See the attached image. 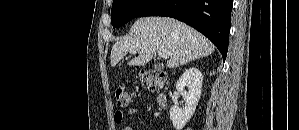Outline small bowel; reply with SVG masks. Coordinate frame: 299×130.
<instances>
[{"instance_id":"1","label":"small bowel","mask_w":299,"mask_h":130,"mask_svg":"<svg viewBox=\"0 0 299 130\" xmlns=\"http://www.w3.org/2000/svg\"><path fill=\"white\" fill-rule=\"evenodd\" d=\"M128 114L131 116H136L138 114L137 110L135 109H130L128 111ZM124 118V112L123 111H116L114 114V120L116 123H121ZM121 130H135L131 126H125Z\"/></svg>"}]
</instances>
